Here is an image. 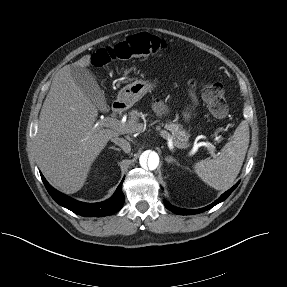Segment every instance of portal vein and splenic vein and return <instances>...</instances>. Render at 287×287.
I'll return each mask as SVG.
<instances>
[{
  "mask_svg": "<svg viewBox=\"0 0 287 287\" xmlns=\"http://www.w3.org/2000/svg\"><path fill=\"white\" fill-rule=\"evenodd\" d=\"M99 126L101 127H109L115 130H124L125 128V124L122 123L121 121L115 119V118H111V117H106L103 120H101L99 122ZM145 126V125H144ZM140 129H143V124L140 125L139 127ZM159 131V134L161 135V137H163L164 139L167 140L168 146L169 148H173V146H176L177 148H187L189 146V144L185 143V144H175L173 141V138L171 137V135L165 131L162 130L160 128H156ZM200 146H205L212 155L215 156V146L212 145L210 142H201Z\"/></svg>",
  "mask_w": 287,
  "mask_h": 287,
  "instance_id": "obj_1",
  "label": "portal vein and splenic vein"
}]
</instances>
